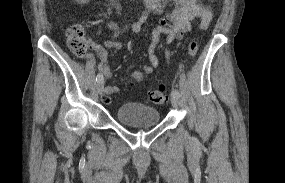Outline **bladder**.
I'll return each instance as SVG.
<instances>
[{
	"label": "bladder",
	"mask_w": 285,
	"mask_h": 183,
	"mask_svg": "<svg viewBox=\"0 0 285 183\" xmlns=\"http://www.w3.org/2000/svg\"><path fill=\"white\" fill-rule=\"evenodd\" d=\"M117 120L127 125H157L159 123V112L156 108L129 102L121 105L116 110Z\"/></svg>",
	"instance_id": "31cf9c89"
}]
</instances>
